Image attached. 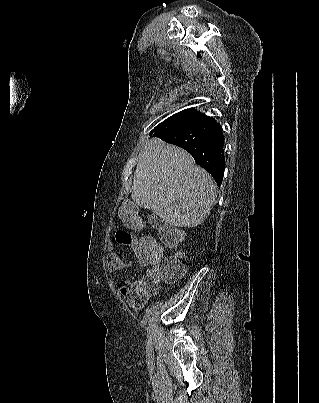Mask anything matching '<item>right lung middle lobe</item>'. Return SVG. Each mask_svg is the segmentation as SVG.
<instances>
[{"label":"right lung middle lobe","mask_w":319,"mask_h":403,"mask_svg":"<svg viewBox=\"0 0 319 403\" xmlns=\"http://www.w3.org/2000/svg\"><path fill=\"white\" fill-rule=\"evenodd\" d=\"M206 117L207 116L205 114H201L200 112L193 110V108L185 109L167 118L164 122H161L158 126L154 128V130L150 132V135L159 132L165 128H178L181 126H186Z\"/></svg>","instance_id":"right-lung-middle-lobe-1"}]
</instances>
